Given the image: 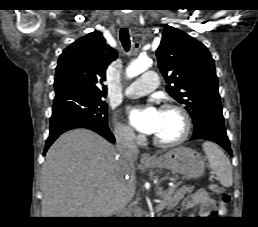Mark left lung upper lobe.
<instances>
[{
  "instance_id": "left-lung-upper-lobe-1",
  "label": "left lung upper lobe",
  "mask_w": 258,
  "mask_h": 227,
  "mask_svg": "<svg viewBox=\"0 0 258 227\" xmlns=\"http://www.w3.org/2000/svg\"><path fill=\"white\" fill-rule=\"evenodd\" d=\"M156 56L166 90L186 106L194 132L209 121L224 122L214 60L201 42L166 26Z\"/></svg>"
}]
</instances>
